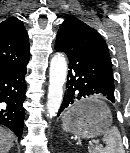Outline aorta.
Segmentation results:
<instances>
[{
	"label": "aorta",
	"mask_w": 130,
	"mask_h": 153,
	"mask_svg": "<svg viewBox=\"0 0 130 153\" xmlns=\"http://www.w3.org/2000/svg\"><path fill=\"white\" fill-rule=\"evenodd\" d=\"M50 85L47 96V116L54 117L62 103L63 85L67 77V62L63 54H56L50 62Z\"/></svg>",
	"instance_id": "aorta-1"
}]
</instances>
